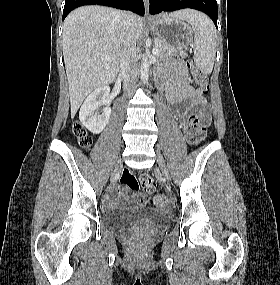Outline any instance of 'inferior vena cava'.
Masks as SVG:
<instances>
[{
  "label": "inferior vena cava",
  "instance_id": "1",
  "mask_svg": "<svg viewBox=\"0 0 280 285\" xmlns=\"http://www.w3.org/2000/svg\"><path fill=\"white\" fill-rule=\"evenodd\" d=\"M135 17L126 12L123 16V48L120 54V69L124 77V92L130 93L134 90V83L138 74L136 62V35L134 27Z\"/></svg>",
  "mask_w": 280,
  "mask_h": 285
}]
</instances>
